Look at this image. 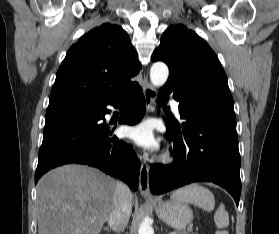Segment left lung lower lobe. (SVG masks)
<instances>
[{"mask_svg": "<svg viewBox=\"0 0 279 234\" xmlns=\"http://www.w3.org/2000/svg\"><path fill=\"white\" fill-rule=\"evenodd\" d=\"M179 101L184 121H166V138L173 143V163L151 167L150 189L162 194L196 181L214 182L225 188L239 204L240 154L233 104L196 96L167 81L159 90L157 103L165 105L168 95Z\"/></svg>", "mask_w": 279, "mask_h": 234, "instance_id": "0a47b994", "label": "left lung lower lobe"}]
</instances>
